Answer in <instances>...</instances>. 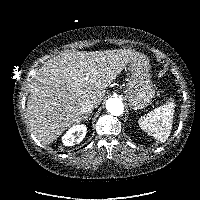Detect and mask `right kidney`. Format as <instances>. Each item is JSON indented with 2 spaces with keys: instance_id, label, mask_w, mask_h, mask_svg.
<instances>
[{
  "instance_id": "ca27d5eb",
  "label": "right kidney",
  "mask_w": 200,
  "mask_h": 200,
  "mask_svg": "<svg viewBox=\"0 0 200 200\" xmlns=\"http://www.w3.org/2000/svg\"><path fill=\"white\" fill-rule=\"evenodd\" d=\"M87 132L85 125H75L71 127L62 137V143L65 146H73L80 143Z\"/></svg>"
}]
</instances>
